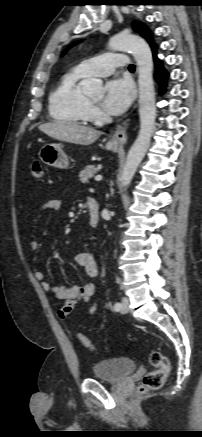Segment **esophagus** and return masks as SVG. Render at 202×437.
<instances>
[{"instance_id": "obj_1", "label": "esophagus", "mask_w": 202, "mask_h": 437, "mask_svg": "<svg viewBox=\"0 0 202 437\" xmlns=\"http://www.w3.org/2000/svg\"><path fill=\"white\" fill-rule=\"evenodd\" d=\"M129 119L123 122L121 126H119L114 134L112 135L110 142L115 145H123L127 141V128H128Z\"/></svg>"}]
</instances>
